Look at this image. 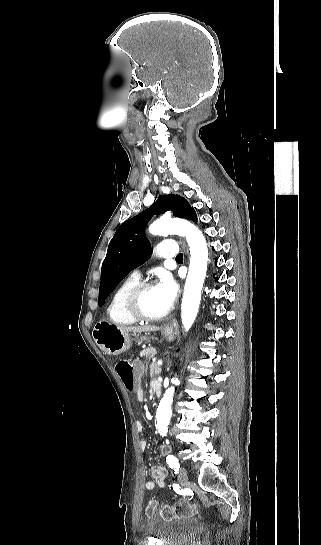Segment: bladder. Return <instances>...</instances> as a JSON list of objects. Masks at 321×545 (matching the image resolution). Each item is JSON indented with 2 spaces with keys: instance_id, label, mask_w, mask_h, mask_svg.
<instances>
[{
  "instance_id": "31cf9c89",
  "label": "bladder",
  "mask_w": 321,
  "mask_h": 545,
  "mask_svg": "<svg viewBox=\"0 0 321 545\" xmlns=\"http://www.w3.org/2000/svg\"><path fill=\"white\" fill-rule=\"evenodd\" d=\"M198 521L194 517L166 518L159 510L146 518L144 531L163 545H183L194 534Z\"/></svg>"
}]
</instances>
